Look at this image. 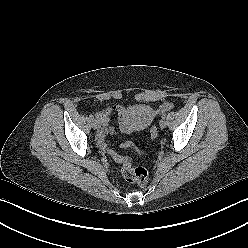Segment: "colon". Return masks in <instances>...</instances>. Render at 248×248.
Returning a JSON list of instances; mask_svg holds the SVG:
<instances>
[{"mask_svg":"<svg viewBox=\"0 0 248 248\" xmlns=\"http://www.w3.org/2000/svg\"><path fill=\"white\" fill-rule=\"evenodd\" d=\"M150 135L152 138H156L158 131L156 127H151ZM121 146L123 148H134V145L131 141L122 142ZM137 151V149H135ZM138 152V151H137ZM110 155L114 158L115 161L122 165L121 173L123 178L133 184L138 186H144L148 181V172L143 167H135L132 164V161L129 157L122 156L117 152L110 150Z\"/></svg>","mask_w":248,"mask_h":248,"instance_id":"1","label":"colon"}]
</instances>
